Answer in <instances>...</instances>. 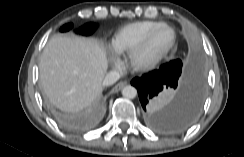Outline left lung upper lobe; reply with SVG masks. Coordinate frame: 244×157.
Listing matches in <instances>:
<instances>
[{
	"label": "left lung upper lobe",
	"mask_w": 244,
	"mask_h": 157,
	"mask_svg": "<svg viewBox=\"0 0 244 157\" xmlns=\"http://www.w3.org/2000/svg\"><path fill=\"white\" fill-rule=\"evenodd\" d=\"M180 63H181V61L179 59L178 60H173V61H171L169 63H166V64L162 65V68H167L169 66L176 65V64L178 65Z\"/></svg>",
	"instance_id": "obj_1"
}]
</instances>
